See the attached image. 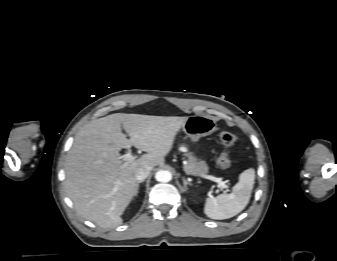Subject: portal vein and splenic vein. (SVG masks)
Here are the masks:
<instances>
[{"instance_id": "obj_1", "label": "portal vein and splenic vein", "mask_w": 337, "mask_h": 261, "mask_svg": "<svg viewBox=\"0 0 337 261\" xmlns=\"http://www.w3.org/2000/svg\"><path fill=\"white\" fill-rule=\"evenodd\" d=\"M123 160L125 161V163L123 164L125 166V165L133 162L135 160V157L132 154H126V155L123 156ZM203 177L218 183V185L221 188H228V186L225 184V182L222 181V179H220V178H217V177H214V176H211V175H203Z\"/></svg>"}]
</instances>
